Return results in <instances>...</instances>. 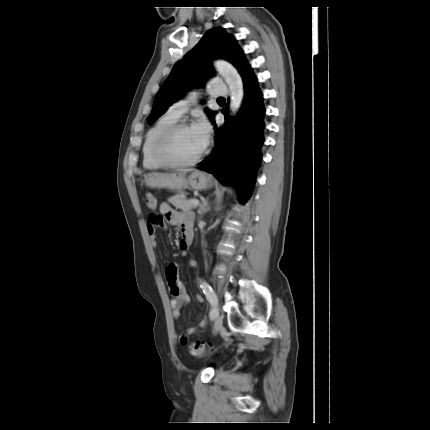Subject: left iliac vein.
<instances>
[{"label": "left iliac vein", "instance_id": "1", "mask_svg": "<svg viewBox=\"0 0 430 430\" xmlns=\"http://www.w3.org/2000/svg\"><path fill=\"white\" fill-rule=\"evenodd\" d=\"M222 329V318L219 314V308L216 307V316L214 317V332L217 333Z\"/></svg>", "mask_w": 430, "mask_h": 430}]
</instances>
